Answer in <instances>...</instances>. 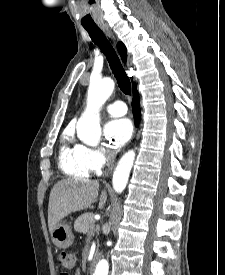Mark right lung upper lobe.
<instances>
[{
    "mask_svg": "<svg viewBox=\"0 0 225 275\" xmlns=\"http://www.w3.org/2000/svg\"><path fill=\"white\" fill-rule=\"evenodd\" d=\"M117 49L121 55L122 60L126 62L127 54H126V47L124 46V44L119 42L117 45ZM133 87H135V84H133Z\"/></svg>",
    "mask_w": 225,
    "mask_h": 275,
    "instance_id": "cb5924a9",
    "label": "right lung upper lobe"
}]
</instances>
